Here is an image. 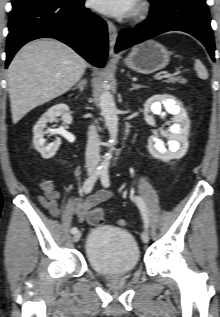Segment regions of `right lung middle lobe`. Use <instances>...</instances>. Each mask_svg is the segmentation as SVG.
Returning a JSON list of instances; mask_svg holds the SVG:
<instances>
[{
	"instance_id": "right-lung-middle-lobe-1",
	"label": "right lung middle lobe",
	"mask_w": 220,
	"mask_h": 317,
	"mask_svg": "<svg viewBox=\"0 0 220 317\" xmlns=\"http://www.w3.org/2000/svg\"><path fill=\"white\" fill-rule=\"evenodd\" d=\"M37 1H59V0H12L13 7H17L23 4L37 2Z\"/></svg>"
}]
</instances>
